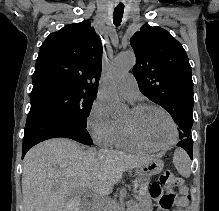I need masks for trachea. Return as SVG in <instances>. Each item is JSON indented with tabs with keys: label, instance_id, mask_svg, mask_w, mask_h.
Listing matches in <instances>:
<instances>
[{
	"label": "trachea",
	"instance_id": "1",
	"mask_svg": "<svg viewBox=\"0 0 219 211\" xmlns=\"http://www.w3.org/2000/svg\"><path fill=\"white\" fill-rule=\"evenodd\" d=\"M124 12V5H117L113 12V21L116 27L120 26Z\"/></svg>",
	"mask_w": 219,
	"mask_h": 211
}]
</instances>
